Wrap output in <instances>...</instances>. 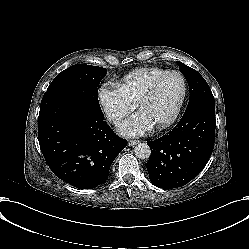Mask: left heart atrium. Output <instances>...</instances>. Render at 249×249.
Returning <instances> with one entry per match:
<instances>
[{
	"label": "left heart atrium",
	"instance_id": "39dd6f15",
	"mask_svg": "<svg viewBox=\"0 0 249 249\" xmlns=\"http://www.w3.org/2000/svg\"><path fill=\"white\" fill-rule=\"evenodd\" d=\"M128 126L130 130L138 133L151 131L150 123L142 116L134 117L132 120L129 121Z\"/></svg>",
	"mask_w": 249,
	"mask_h": 249
}]
</instances>
